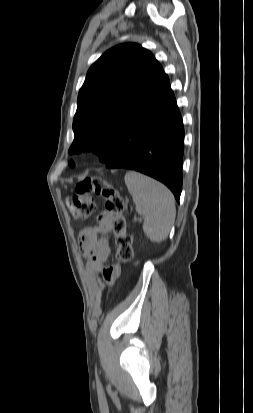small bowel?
Masks as SVG:
<instances>
[{"instance_id":"small-bowel-1","label":"small bowel","mask_w":253,"mask_h":413,"mask_svg":"<svg viewBox=\"0 0 253 413\" xmlns=\"http://www.w3.org/2000/svg\"><path fill=\"white\" fill-rule=\"evenodd\" d=\"M114 226V216L108 210H103L97 216V223L83 228L79 233V246L87 258V270L101 276L106 282L113 284L120 272L118 265L105 267L110 256L111 248L108 235ZM109 292L114 294L116 289L111 285Z\"/></svg>"}]
</instances>
